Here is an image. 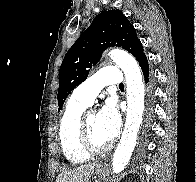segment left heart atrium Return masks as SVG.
<instances>
[{
	"mask_svg": "<svg viewBox=\"0 0 196 182\" xmlns=\"http://www.w3.org/2000/svg\"><path fill=\"white\" fill-rule=\"evenodd\" d=\"M97 128L106 142L112 141L120 128V116L113 100H108L97 114Z\"/></svg>",
	"mask_w": 196,
	"mask_h": 182,
	"instance_id": "39dd6f15",
	"label": "left heart atrium"
}]
</instances>
